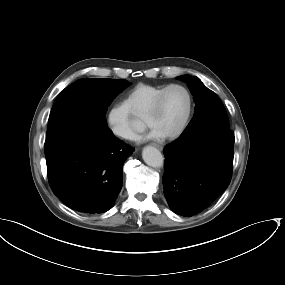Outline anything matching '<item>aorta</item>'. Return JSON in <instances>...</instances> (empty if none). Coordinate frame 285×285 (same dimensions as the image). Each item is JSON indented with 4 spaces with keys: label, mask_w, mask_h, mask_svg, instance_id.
<instances>
[{
    "label": "aorta",
    "mask_w": 285,
    "mask_h": 285,
    "mask_svg": "<svg viewBox=\"0 0 285 285\" xmlns=\"http://www.w3.org/2000/svg\"><path fill=\"white\" fill-rule=\"evenodd\" d=\"M142 158L148 166L153 168H160L164 163L163 155L157 148L153 146L144 147L142 151Z\"/></svg>",
    "instance_id": "aorta-1"
}]
</instances>
